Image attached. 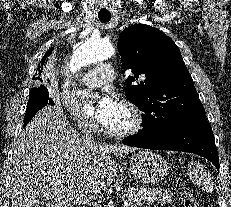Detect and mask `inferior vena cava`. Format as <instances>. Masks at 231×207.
<instances>
[{"label": "inferior vena cava", "mask_w": 231, "mask_h": 207, "mask_svg": "<svg viewBox=\"0 0 231 207\" xmlns=\"http://www.w3.org/2000/svg\"><path fill=\"white\" fill-rule=\"evenodd\" d=\"M80 138L86 146H95L97 142L93 136V126L89 120H85L83 124L79 126Z\"/></svg>", "instance_id": "inferior-vena-cava-1"}]
</instances>
